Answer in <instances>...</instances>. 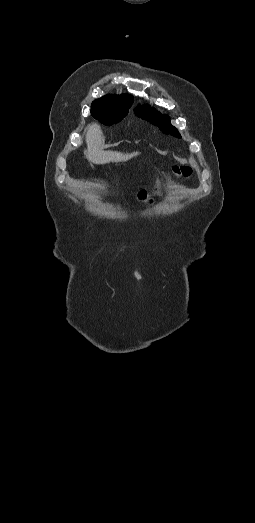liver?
Returning a JSON list of instances; mask_svg holds the SVG:
<instances>
[{
	"instance_id": "1",
	"label": "liver",
	"mask_w": 255,
	"mask_h": 523,
	"mask_svg": "<svg viewBox=\"0 0 255 523\" xmlns=\"http://www.w3.org/2000/svg\"><path fill=\"white\" fill-rule=\"evenodd\" d=\"M104 136L98 124H90L86 132L87 150L84 152L85 158L92 164H110V162H126L132 156H137L138 152L133 154H121V152H105Z\"/></svg>"
}]
</instances>
